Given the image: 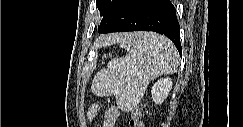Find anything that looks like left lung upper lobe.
<instances>
[{"label": "left lung upper lobe", "instance_id": "5c2ea615", "mask_svg": "<svg viewBox=\"0 0 243 127\" xmlns=\"http://www.w3.org/2000/svg\"><path fill=\"white\" fill-rule=\"evenodd\" d=\"M122 0H96L97 6L100 10V15L103 16V19L99 25V28H103L106 25V17L113 12Z\"/></svg>", "mask_w": 243, "mask_h": 127}]
</instances>
